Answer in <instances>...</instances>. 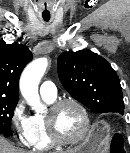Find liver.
<instances>
[{
    "label": "liver",
    "instance_id": "1",
    "mask_svg": "<svg viewBox=\"0 0 130 153\" xmlns=\"http://www.w3.org/2000/svg\"><path fill=\"white\" fill-rule=\"evenodd\" d=\"M0 153H29V152L15 148L4 137L0 136ZM69 153H71V151H69Z\"/></svg>",
    "mask_w": 130,
    "mask_h": 153
}]
</instances>
